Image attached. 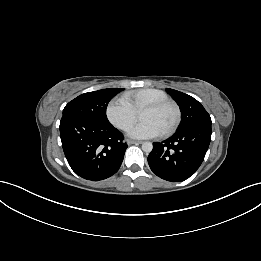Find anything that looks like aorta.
<instances>
[{"label": "aorta", "mask_w": 261, "mask_h": 261, "mask_svg": "<svg viewBox=\"0 0 261 261\" xmlns=\"http://www.w3.org/2000/svg\"><path fill=\"white\" fill-rule=\"evenodd\" d=\"M153 149V144L151 142H144L142 144V150L145 152V153H150Z\"/></svg>", "instance_id": "762f6f07"}]
</instances>
